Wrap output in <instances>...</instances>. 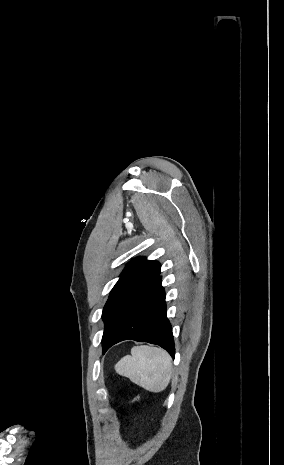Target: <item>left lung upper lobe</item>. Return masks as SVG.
I'll return each mask as SVG.
<instances>
[{
  "label": "left lung upper lobe",
  "instance_id": "1",
  "mask_svg": "<svg viewBox=\"0 0 284 465\" xmlns=\"http://www.w3.org/2000/svg\"><path fill=\"white\" fill-rule=\"evenodd\" d=\"M160 275V263L145 258L132 260L120 275L104 306L102 342L121 310Z\"/></svg>",
  "mask_w": 284,
  "mask_h": 465
}]
</instances>
